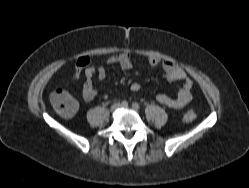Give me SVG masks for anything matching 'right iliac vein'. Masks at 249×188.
<instances>
[{
  "label": "right iliac vein",
  "mask_w": 249,
  "mask_h": 188,
  "mask_svg": "<svg viewBox=\"0 0 249 188\" xmlns=\"http://www.w3.org/2000/svg\"><path fill=\"white\" fill-rule=\"evenodd\" d=\"M118 109V105L117 104H114V105H112V107H111V111H116Z\"/></svg>",
  "instance_id": "1"
}]
</instances>
